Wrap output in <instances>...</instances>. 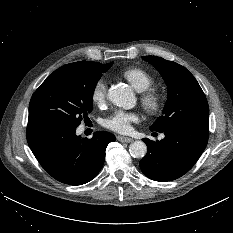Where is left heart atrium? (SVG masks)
Instances as JSON below:
<instances>
[{"label":"left heart atrium","mask_w":233,"mask_h":233,"mask_svg":"<svg viewBox=\"0 0 233 233\" xmlns=\"http://www.w3.org/2000/svg\"><path fill=\"white\" fill-rule=\"evenodd\" d=\"M139 115L135 112L116 110L104 120V126L117 133H128L131 131L132 123L138 122Z\"/></svg>","instance_id":"obj_1"}]
</instances>
